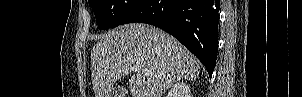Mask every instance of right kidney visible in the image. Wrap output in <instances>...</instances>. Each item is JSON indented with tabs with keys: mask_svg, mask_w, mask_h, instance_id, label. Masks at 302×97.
<instances>
[{
	"mask_svg": "<svg viewBox=\"0 0 302 97\" xmlns=\"http://www.w3.org/2000/svg\"><path fill=\"white\" fill-rule=\"evenodd\" d=\"M168 97H190V87L183 82L177 83L167 95Z\"/></svg>",
	"mask_w": 302,
	"mask_h": 97,
	"instance_id": "obj_1",
	"label": "right kidney"
}]
</instances>
